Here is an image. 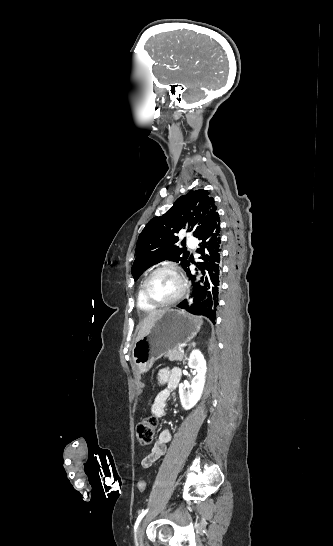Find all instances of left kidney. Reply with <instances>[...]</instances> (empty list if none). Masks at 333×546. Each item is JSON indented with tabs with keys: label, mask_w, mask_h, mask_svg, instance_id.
Here are the masks:
<instances>
[{
	"label": "left kidney",
	"mask_w": 333,
	"mask_h": 546,
	"mask_svg": "<svg viewBox=\"0 0 333 546\" xmlns=\"http://www.w3.org/2000/svg\"><path fill=\"white\" fill-rule=\"evenodd\" d=\"M188 366L197 371V375L194 377L192 385L187 388L184 384L179 385V396L181 405L185 410L193 408L199 401L204 384L206 374V361L200 352L195 349L192 351L190 358L188 359Z\"/></svg>",
	"instance_id": "left-kidney-1"
}]
</instances>
